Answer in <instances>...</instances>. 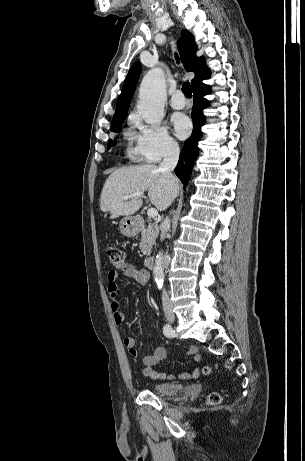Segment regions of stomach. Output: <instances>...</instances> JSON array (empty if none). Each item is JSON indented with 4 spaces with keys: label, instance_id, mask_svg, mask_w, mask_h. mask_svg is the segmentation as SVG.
<instances>
[{
    "label": "stomach",
    "instance_id": "stomach-1",
    "mask_svg": "<svg viewBox=\"0 0 305 461\" xmlns=\"http://www.w3.org/2000/svg\"><path fill=\"white\" fill-rule=\"evenodd\" d=\"M119 227L121 233L126 237H134L139 231L137 220L131 216L122 218Z\"/></svg>",
    "mask_w": 305,
    "mask_h": 461
}]
</instances>
